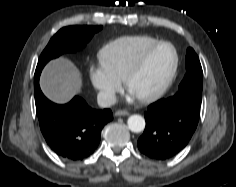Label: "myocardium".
I'll use <instances>...</instances> for the list:
<instances>
[{
    "label": "myocardium",
    "instance_id": "obj_1",
    "mask_svg": "<svg viewBox=\"0 0 236 187\" xmlns=\"http://www.w3.org/2000/svg\"><path fill=\"white\" fill-rule=\"evenodd\" d=\"M161 46H169L172 49V51L174 53V62H173L172 68H171L166 80L164 81V83L156 91H154L150 94H147V95L137 97V99L140 102L149 103V102H154V101L158 100L168 91V89L170 88V86L172 85V83L175 79V76H176V73L178 70V66H179V55H178L177 49L175 48V46L172 43H170L168 41H158V42L152 44L151 46H149L147 49H145L141 53V55L138 57L136 62L133 64V66L128 71L127 75L125 76V79H124L125 87L127 88V90H129L132 80L142 70V68L144 67L149 56L157 48H159Z\"/></svg>",
    "mask_w": 236,
    "mask_h": 187
}]
</instances>
